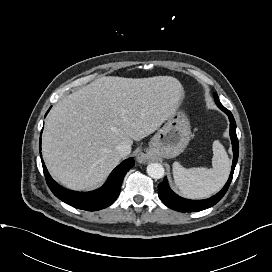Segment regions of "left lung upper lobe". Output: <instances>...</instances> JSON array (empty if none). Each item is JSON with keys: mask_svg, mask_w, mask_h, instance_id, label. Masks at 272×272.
<instances>
[{"mask_svg": "<svg viewBox=\"0 0 272 272\" xmlns=\"http://www.w3.org/2000/svg\"><path fill=\"white\" fill-rule=\"evenodd\" d=\"M214 97H215V99H218V96H217L216 94H215V96H214ZM218 100H219V99H218Z\"/></svg>", "mask_w": 272, "mask_h": 272, "instance_id": "1", "label": "left lung upper lobe"}]
</instances>
